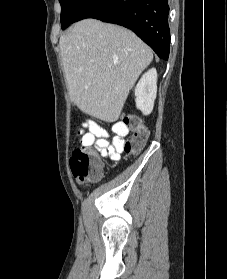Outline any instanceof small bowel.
Segmentation results:
<instances>
[{
    "mask_svg": "<svg viewBox=\"0 0 227 279\" xmlns=\"http://www.w3.org/2000/svg\"><path fill=\"white\" fill-rule=\"evenodd\" d=\"M89 134L93 138L92 146L102 157H106L113 162H118L121 155L125 152V137L128 135V129L122 123H115L112 126V142L109 143V132L97 120H89L87 124Z\"/></svg>",
    "mask_w": 227,
    "mask_h": 279,
    "instance_id": "small-bowel-1",
    "label": "small bowel"
}]
</instances>
